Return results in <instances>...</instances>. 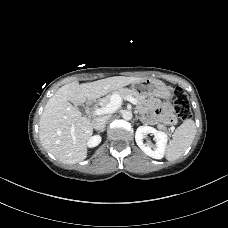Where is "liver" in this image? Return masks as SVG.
<instances>
[{
    "label": "liver",
    "instance_id": "obj_1",
    "mask_svg": "<svg viewBox=\"0 0 228 228\" xmlns=\"http://www.w3.org/2000/svg\"><path fill=\"white\" fill-rule=\"evenodd\" d=\"M141 80L138 77L115 76L62 86L48 100L40 117L39 138L42 146L65 164H76L86 159L87 142L93 134V126L89 118L82 117L77 105Z\"/></svg>",
    "mask_w": 228,
    "mask_h": 228
}]
</instances>
